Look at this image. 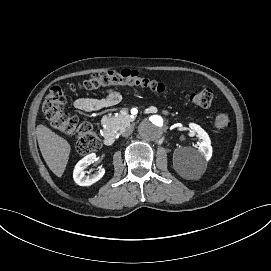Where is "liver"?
<instances>
[{
	"instance_id": "6515ba94",
	"label": "liver",
	"mask_w": 271,
	"mask_h": 271,
	"mask_svg": "<svg viewBox=\"0 0 271 271\" xmlns=\"http://www.w3.org/2000/svg\"><path fill=\"white\" fill-rule=\"evenodd\" d=\"M36 135L46 164L57 177H61L69 159V143L43 125L37 126Z\"/></svg>"
}]
</instances>
